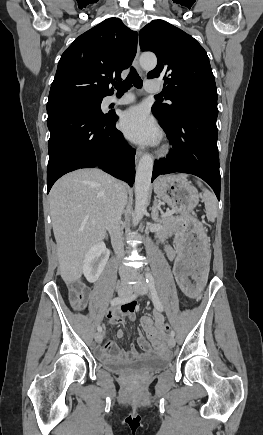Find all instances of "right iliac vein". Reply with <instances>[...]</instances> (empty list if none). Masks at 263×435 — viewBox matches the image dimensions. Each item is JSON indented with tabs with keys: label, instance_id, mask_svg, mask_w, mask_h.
<instances>
[{
	"label": "right iliac vein",
	"instance_id": "1",
	"mask_svg": "<svg viewBox=\"0 0 263 435\" xmlns=\"http://www.w3.org/2000/svg\"><path fill=\"white\" fill-rule=\"evenodd\" d=\"M117 292H118L120 297H126L130 294L131 289H129L127 287H120V288H118ZM94 338H95V341L99 343L102 341L103 335L101 332H97L95 334Z\"/></svg>",
	"mask_w": 263,
	"mask_h": 435
}]
</instances>
